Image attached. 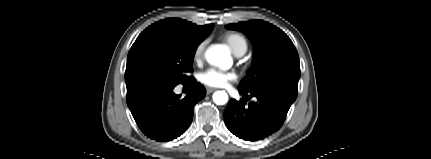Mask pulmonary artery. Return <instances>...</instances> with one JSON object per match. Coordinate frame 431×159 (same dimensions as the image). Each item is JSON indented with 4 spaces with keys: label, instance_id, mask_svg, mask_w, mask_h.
Wrapping results in <instances>:
<instances>
[{
    "label": "pulmonary artery",
    "instance_id": "pulmonary-artery-1",
    "mask_svg": "<svg viewBox=\"0 0 431 159\" xmlns=\"http://www.w3.org/2000/svg\"><path fill=\"white\" fill-rule=\"evenodd\" d=\"M241 55H243V53H241V54H238L237 56H241Z\"/></svg>",
    "mask_w": 431,
    "mask_h": 159
}]
</instances>
